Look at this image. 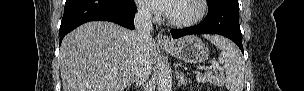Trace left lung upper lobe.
<instances>
[{
    "instance_id": "5c2ea615",
    "label": "left lung upper lobe",
    "mask_w": 304,
    "mask_h": 91,
    "mask_svg": "<svg viewBox=\"0 0 304 91\" xmlns=\"http://www.w3.org/2000/svg\"><path fill=\"white\" fill-rule=\"evenodd\" d=\"M219 1H221V0H207L208 7L215 5Z\"/></svg>"
}]
</instances>
